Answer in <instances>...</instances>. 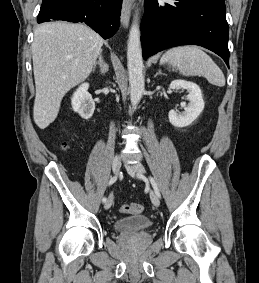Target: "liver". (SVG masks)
Instances as JSON below:
<instances>
[{"label": "liver", "mask_w": 259, "mask_h": 283, "mask_svg": "<svg viewBox=\"0 0 259 283\" xmlns=\"http://www.w3.org/2000/svg\"><path fill=\"white\" fill-rule=\"evenodd\" d=\"M103 43L102 37L85 24L49 22L35 30L33 118L40 129L56 119L64 95L88 78Z\"/></svg>", "instance_id": "6515ba94"}]
</instances>
